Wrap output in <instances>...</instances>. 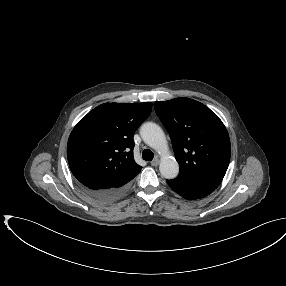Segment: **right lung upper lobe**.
<instances>
[{
	"label": "right lung upper lobe",
	"mask_w": 286,
	"mask_h": 286,
	"mask_svg": "<svg viewBox=\"0 0 286 286\" xmlns=\"http://www.w3.org/2000/svg\"><path fill=\"white\" fill-rule=\"evenodd\" d=\"M152 103H105L74 127L67 145L72 174L95 189L122 187L141 170L134 158V132L150 115Z\"/></svg>",
	"instance_id": "right-lung-upper-lobe-1"
}]
</instances>
